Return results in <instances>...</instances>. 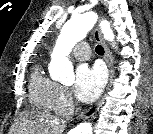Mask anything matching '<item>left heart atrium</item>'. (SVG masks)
<instances>
[{
	"label": "left heart atrium",
	"mask_w": 153,
	"mask_h": 134,
	"mask_svg": "<svg viewBox=\"0 0 153 134\" xmlns=\"http://www.w3.org/2000/svg\"><path fill=\"white\" fill-rule=\"evenodd\" d=\"M105 73L99 66L80 65L75 73L74 92L84 102L94 101L102 91Z\"/></svg>",
	"instance_id": "left-heart-atrium-1"
}]
</instances>
